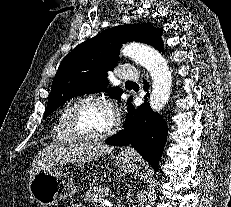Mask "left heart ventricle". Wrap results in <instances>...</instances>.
Listing matches in <instances>:
<instances>
[{"mask_svg": "<svg viewBox=\"0 0 231 207\" xmlns=\"http://www.w3.org/2000/svg\"><path fill=\"white\" fill-rule=\"evenodd\" d=\"M113 120V112L105 105L96 102L82 104L75 112L76 124L87 134L105 132L111 127Z\"/></svg>", "mask_w": 231, "mask_h": 207, "instance_id": "left-heart-ventricle-1", "label": "left heart ventricle"}]
</instances>
